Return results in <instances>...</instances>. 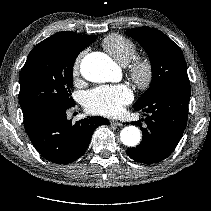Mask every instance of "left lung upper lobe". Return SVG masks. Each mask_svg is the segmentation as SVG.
I'll list each match as a JSON object with an SVG mask.
<instances>
[{
  "instance_id": "left-lung-upper-lobe-1",
  "label": "left lung upper lobe",
  "mask_w": 211,
  "mask_h": 211,
  "mask_svg": "<svg viewBox=\"0 0 211 211\" xmlns=\"http://www.w3.org/2000/svg\"><path fill=\"white\" fill-rule=\"evenodd\" d=\"M126 34L141 44L152 66L151 85L134 106L146 103L170 87L190 85L183 53L168 36L149 27L129 29Z\"/></svg>"
}]
</instances>
